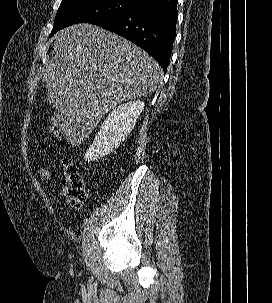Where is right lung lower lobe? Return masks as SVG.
Masks as SVG:
<instances>
[{
	"instance_id": "98d812e1",
	"label": "right lung lower lobe",
	"mask_w": 272,
	"mask_h": 303,
	"mask_svg": "<svg viewBox=\"0 0 272 303\" xmlns=\"http://www.w3.org/2000/svg\"><path fill=\"white\" fill-rule=\"evenodd\" d=\"M178 0H148L92 24L132 41L166 71L176 35Z\"/></svg>"
}]
</instances>
